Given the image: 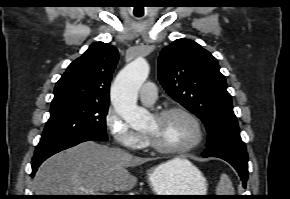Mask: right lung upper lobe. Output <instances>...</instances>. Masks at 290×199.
Here are the masks:
<instances>
[{"label": "right lung upper lobe", "mask_w": 290, "mask_h": 199, "mask_svg": "<svg viewBox=\"0 0 290 199\" xmlns=\"http://www.w3.org/2000/svg\"><path fill=\"white\" fill-rule=\"evenodd\" d=\"M118 50L95 42L74 60L56 83L51 109L74 103L109 104V86Z\"/></svg>", "instance_id": "obj_1"}]
</instances>
